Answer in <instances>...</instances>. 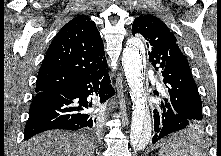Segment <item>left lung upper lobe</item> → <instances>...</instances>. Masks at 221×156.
Listing matches in <instances>:
<instances>
[{"mask_svg": "<svg viewBox=\"0 0 221 156\" xmlns=\"http://www.w3.org/2000/svg\"><path fill=\"white\" fill-rule=\"evenodd\" d=\"M141 34L149 49V61L163 77L167 99L179 113L202 122V104L186 56L163 21L150 14L135 18L132 34Z\"/></svg>", "mask_w": 221, "mask_h": 156, "instance_id": "left-lung-upper-lobe-1", "label": "left lung upper lobe"}]
</instances>
